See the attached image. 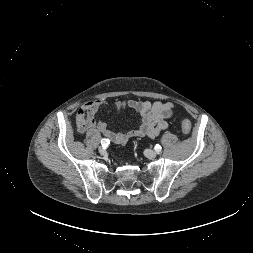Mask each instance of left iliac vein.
I'll return each mask as SVG.
<instances>
[{
	"label": "left iliac vein",
	"mask_w": 253,
	"mask_h": 253,
	"mask_svg": "<svg viewBox=\"0 0 253 253\" xmlns=\"http://www.w3.org/2000/svg\"><path fill=\"white\" fill-rule=\"evenodd\" d=\"M144 153H145V156L149 159H154L157 156V152L152 151V150H146Z\"/></svg>",
	"instance_id": "obj_1"
}]
</instances>
